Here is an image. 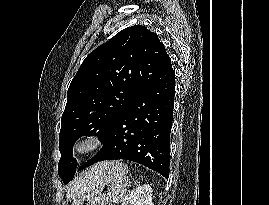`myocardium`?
I'll return each instance as SVG.
<instances>
[{
  "instance_id": "obj_1",
  "label": "myocardium",
  "mask_w": 269,
  "mask_h": 205,
  "mask_svg": "<svg viewBox=\"0 0 269 205\" xmlns=\"http://www.w3.org/2000/svg\"><path fill=\"white\" fill-rule=\"evenodd\" d=\"M104 145V139L95 130H87L80 133L73 141L71 151L75 156H85L91 154Z\"/></svg>"
}]
</instances>
